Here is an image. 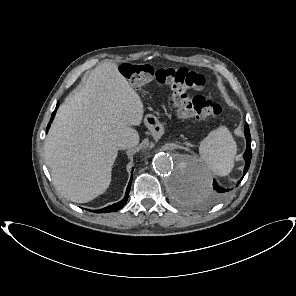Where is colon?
<instances>
[{"instance_id": "5ec220e1", "label": "colon", "mask_w": 296, "mask_h": 296, "mask_svg": "<svg viewBox=\"0 0 296 296\" xmlns=\"http://www.w3.org/2000/svg\"><path fill=\"white\" fill-rule=\"evenodd\" d=\"M121 73L136 88L153 81L169 85L173 92V104L180 118L210 120L222 113L221 105L210 98L203 95H188L191 89L202 90L206 80L202 74L185 67L154 68L147 64H124Z\"/></svg>"}]
</instances>
